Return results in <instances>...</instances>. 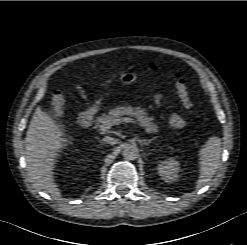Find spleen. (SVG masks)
Returning a JSON list of instances; mask_svg holds the SVG:
<instances>
[{
	"label": "spleen",
	"instance_id": "spleen-1",
	"mask_svg": "<svg viewBox=\"0 0 247 245\" xmlns=\"http://www.w3.org/2000/svg\"><path fill=\"white\" fill-rule=\"evenodd\" d=\"M221 157V140L211 137L199 151V178L196 188L205 186L219 168Z\"/></svg>",
	"mask_w": 247,
	"mask_h": 245
}]
</instances>
